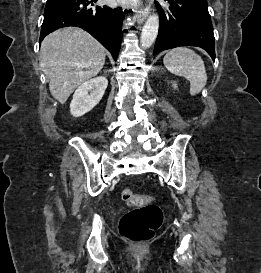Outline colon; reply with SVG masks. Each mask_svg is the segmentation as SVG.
Masks as SVG:
<instances>
[{
  "label": "colon",
  "instance_id": "1",
  "mask_svg": "<svg viewBox=\"0 0 261 273\" xmlns=\"http://www.w3.org/2000/svg\"><path fill=\"white\" fill-rule=\"evenodd\" d=\"M121 197L135 209L124 214L120 220V235L133 243H142L151 239L163 220L162 210L154 204L151 195H138L125 188Z\"/></svg>",
  "mask_w": 261,
  "mask_h": 273
}]
</instances>
